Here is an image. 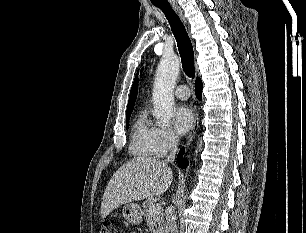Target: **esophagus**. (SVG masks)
Segmentation results:
<instances>
[{"instance_id": "1", "label": "esophagus", "mask_w": 306, "mask_h": 233, "mask_svg": "<svg viewBox=\"0 0 306 233\" xmlns=\"http://www.w3.org/2000/svg\"><path fill=\"white\" fill-rule=\"evenodd\" d=\"M173 7L178 11V13L180 14V16L182 17V19L184 20V22L186 23V20L183 16V13H182V10L180 9V7L176 4H173ZM199 126V114L198 112L196 113V117H195V121H194V125H193V128L192 130L190 131L189 133V136L187 138V141H186V148H188L190 146V144L192 143L193 139L195 138V135H196V131H197V128Z\"/></svg>"}]
</instances>
